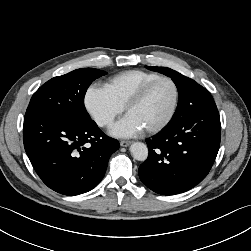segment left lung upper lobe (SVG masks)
I'll return each mask as SVG.
<instances>
[{"mask_svg": "<svg viewBox=\"0 0 251 251\" xmlns=\"http://www.w3.org/2000/svg\"><path fill=\"white\" fill-rule=\"evenodd\" d=\"M146 68L153 70V71L160 72L162 74H165V75L171 77L173 82L177 86L178 93H179L178 106H177L176 112L174 113L170 123L168 124V126H169L174 121H176L177 118L180 116V114H178V111H179L180 103L182 101H184V98H186V96L189 94L191 95L196 90H203L204 88L201 85H199L197 82H195L194 80H192L188 77H185L184 75H182V74L178 73L177 71H174L170 68L150 67V66H146Z\"/></svg>", "mask_w": 251, "mask_h": 251, "instance_id": "5c2ea615", "label": "left lung upper lobe"}]
</instances>
